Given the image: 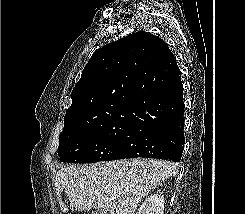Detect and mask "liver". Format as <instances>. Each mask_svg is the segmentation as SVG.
Returning a JSON list of instances; mask_svg holds the SVG:
<instances>
[{"mask_svg": "<svg viewBox=\"0 0 245 214\" xmlns=\"http://www.w3.org/2000/svg\"><path fill=\"white\" fill-rule=\"evenodd\" d=\"M175 164L161 160L130 159L60 169L55 178L59 207L65 192L70 209H105L109 214H134L141 199L162 181L175 176Z\"/></svg>", "mask_w": 245, "mask_h": 214, "instance_id": "obj_1", "label": "liver"}]
</instances>
